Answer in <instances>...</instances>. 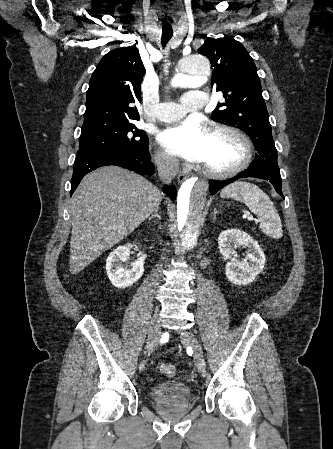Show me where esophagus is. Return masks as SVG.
<instances>
[{"label": "esophagus", "mask_w": 333, "mask_h": 449, "mask_svg": "<svg viewBox=\"0 0 333 449\" xmlns=\"http://www.w3.org/2000/svg\"><path fill=\"white\" fill-rule=\"evenodd\" d=\"M186 177L183 174L178 175V182L182 183Z\"/></svg>", "instance_id": "1"}]
</instances>
